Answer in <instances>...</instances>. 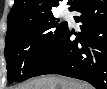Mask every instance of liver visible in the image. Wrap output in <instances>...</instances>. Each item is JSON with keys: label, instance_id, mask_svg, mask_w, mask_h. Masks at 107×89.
Wrapping results in <instances>:
<instances>
[{"label": "liver", "instance_id": "6515ba94", "mask_svg": "<svg viewBox=\"0 0 107 89\" xmlns=\"http://www.w3.org/2000/svg\"><path fill=\"white\" fill-rule=\"evenodd\" d=\"M13 89H92V86L66 77L42 76L17 85Z\"/></svg>", "mask_w": 107, "mask_h": 89}]
</instances>
